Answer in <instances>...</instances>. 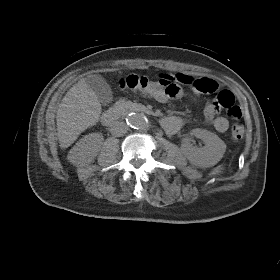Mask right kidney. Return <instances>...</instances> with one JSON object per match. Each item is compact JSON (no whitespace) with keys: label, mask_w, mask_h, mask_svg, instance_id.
I'll return each instance as SVG.
<instances>
[{"label":"right kidney","mask_w":280,"mask_h":280,"mask_svg":"<svg viewBox=\"0 0 280 280\" xmlns=\"http://www.w3.org/2000/svg\"><path fill=\"white\" fill-rule=\"evenodd\" d=\"M102 140L103 136L98 133L86 135L77 143V146L73 148V150L76 151L84 161L90 162L97 156Z\"/></svg>","instance_id":"obj_1"}]
</instances>
